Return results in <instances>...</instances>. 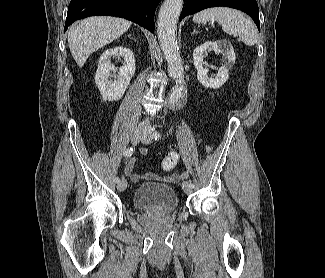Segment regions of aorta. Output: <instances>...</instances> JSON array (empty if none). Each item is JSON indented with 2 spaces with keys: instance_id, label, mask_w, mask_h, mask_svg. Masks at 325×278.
Here are the masks:
<instances>
[{
  "instance_id": "aorta-1",
  "label": "aorta",
  "mask_w": 325,
  "mask_h": 278,
  "mask_svg": "<svg viewBox=\"0 0 325 278\" xmlns=\"http://www.w3.org/2000/svg\"><path fill=\"white\" fill-rule=\"evenodd\" d=\"M183 6V0H165L157 21V35L165 59L168 62L170 76L175 79L169 103L175 105L185 92L184 69L177 42V21Z\"/></svg>"
}]
</instances>
